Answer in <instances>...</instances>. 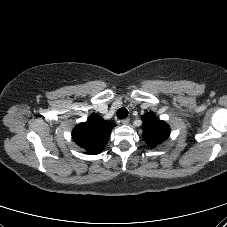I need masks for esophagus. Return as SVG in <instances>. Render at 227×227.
I'll return each instance as SVG.
<instances>
[{
	"mask_svg": "<svg viewBox=\"0 0 227 227\" xmlns=\"http://www.w3.org/2000/svg\"><path fill=\"white\" fill-rule=\"evenodd\" d=\"M129 122H130V119H129V118L123 119V120L121 121V123H122L123 125L129 124Z\"/></svg>",
	"mask_w": 227,
	"mask_h": 227,
	"instance_id": "34e87169",
	"label": "esophagus"
}]
</instances>
